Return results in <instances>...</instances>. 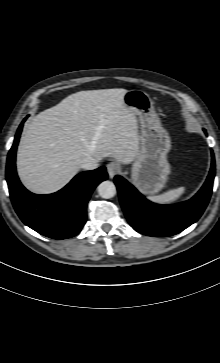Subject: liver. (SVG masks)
Instances as JSON below:
<instances>
[{
    "mask_svg": "<svg viewBox=\"0 0 220 363\" xmlns=\"http://www.w3.org/2000/svg\"><path fill=\"white\" fill-rule=\"evenodd\" d=\"M125 89L80 91L40 112L24 130L18 175L30 191L64 187L88 160L131 163L139 153L136 113L123 102Z\"/></svg>",
    "mask_w": 220,
    "mask_h": 363,
    "instance_id": "6515ba94",
    "label": "liver"
}]
</instances>
